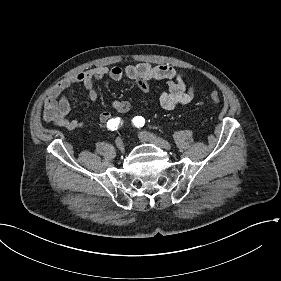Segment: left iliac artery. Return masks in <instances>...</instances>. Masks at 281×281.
Listing matches in <instances>:
<instances>
[{
  "mask_svg": "<svg viewBox=\"0 0 281 281\" xmlns=\"http://www.w3.org/2000/svg\"><path fill=\"white\" fill-rule=\"evenodd\" d=\"M133 124L136 126V127H143L144 124H145V120L143 117L141 116H136L133 118Z\"/></svg>",
  "mask_w": 281,
  "mask_h": 281,
  "instance_id": "left-iliac-artery-1",
  "label": "left iliac artery"
}]
</instances>
